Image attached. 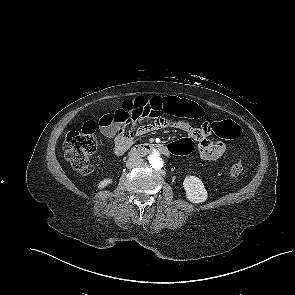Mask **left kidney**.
<instances>
[{
    "label": "left kidney",
    "instance_id": "obj_1",
    "mask_svg": "<svg viewBox=\"0 0 295 295\" xmlns=\"http://www.w3.org/2000/svg\"><path fill=\"white\" fill-rule=\"evenodd\" d=\"M186 198L192 203H202L207 199V191L203 182L195 176H187L183 181Z\"/></svg>",
    "mask_w": 295,
    "mask_h": 295
}]
</instances>
